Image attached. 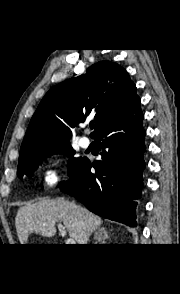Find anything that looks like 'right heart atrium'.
I'll return each mask as SVG.
<instances>
[{"label": "right heart atrium", "mask_w": 180, "mask_h": 294, "mask_svg": "<svg viewBox=\"0 0 180 294\" xmlns=\"http://www.w3.org/2000/svg\"><path fill=\"white\" fill-rule=\"evenodd\" d=\"M62 163L58 159H53L43 169L42 179L46 187H53L61 180Z\"/></svg>", "instance_id": "1"}]
</instances>
